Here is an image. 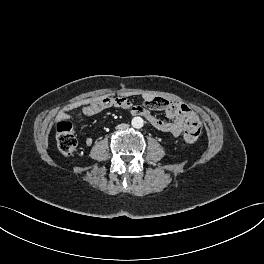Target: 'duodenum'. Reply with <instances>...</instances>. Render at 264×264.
Listing matches in <instances>:
<instances>
[{"label":"duodenum","mask_w":264,"mask_h":264,"mask_svg":"<svg viewBox=\"0 0 264 264\" xmlns=\"http://www.w3.org/2000/svg\"><path fill=\"white\" fill-rule=\"evenodd\" d=\"M136 115H141V116H143V113H138V114H136Z\"/></svg>","instance_id":"410a0bca"}]
</instances>
